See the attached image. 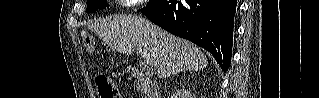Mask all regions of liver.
Listing matches in <instances>:
<instances>
[{
  "label": "liver",
  "mask_w": 319,
  "mask_h": 98,
  "mask_svg": "<svg viewBox=\"0 0 319 98\" xmlns=\"http://www.w3.org/2000/svg\"><path fill=\"white\" fill-rule=\"evenodd\" d=\"M89 28L116 52L130 55L139 47L146 49L156 61L157 75L162 79L182 71H200L208 65L196 45L139 16L116 15L91 23Z\"/></svg>",
  "instance_id": "1"
}]
</instances>
